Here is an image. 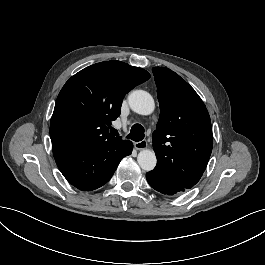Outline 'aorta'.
<instances>
[{
    "label": "aorta",
    "instance_id": "aorta-1",
    "mask_svg": "<svg viewBox=\"0 0 265 265\" xmlns=\"http://www.w3.org/2000/svg\"><path fill=\"white\" fill-rule=\"evenodd\" d=\"M128 99L130 108L139 115L149 116L155 111L154 98L146 91H133ZM137 162L143 170L150 171L156 165V155L151 149H142L137 155Z\"/></svg>",
    "mask_w": 265,
    "mask_h": 265
}]
</instances>
